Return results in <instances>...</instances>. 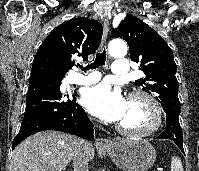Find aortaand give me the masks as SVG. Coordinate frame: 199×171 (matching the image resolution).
Returning a JSON list of instances; mask_svg holds the SVG:
<instances>
[{
    "label": "aorta",
    "mask_w": 199,
    "mask_h": 171,
    "mask_svg": "<svg viewBox=\"0 0 199 171\" xmlns=\"http://www.w3.org/2000/svg\"><path fill=\"white\" fill-rule=\"evenodd\" d=\"M109 53L115 57L124 56L127 53V45L121 39H114L109 43Z\"/></svg>",
    "instance_id": "762f6f07"
}]
</instances>
